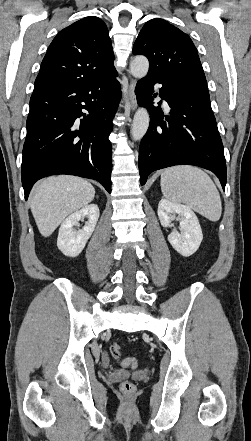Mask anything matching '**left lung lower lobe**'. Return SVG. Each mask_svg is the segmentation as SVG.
Instances as JSON below:
<instances>
[{
  "label": "left lung lower lobe",
  "mask_w": 251,
  "mask_h": 441,
  "mask_svg": "<svg viewBox=\"0 0 251 441\" xmlns=\"http://www.w3.org/2000/svg\"><path fill=\"white\" fill-rule=\"evenodd\" d=\"M162 84L160 97L171 110L164 115L161 102L154 106V85ZM135 93L139 105L150 115L149 128L139 148L141 185L158 169L189 164L212 171L226 185L223 144L211 109L206 87L191 81L147 74L138 81Z\"/></svg>",
  "instance_id": "1"
}]
</instances>
